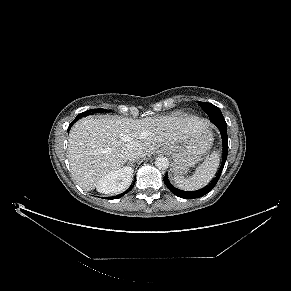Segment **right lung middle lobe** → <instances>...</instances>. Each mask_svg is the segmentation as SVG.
<instances>
[{"label":"right lung middle lobe","instance_id":"obj_1","mask_svg":"<svg viewBox=\"0 0 291 291\" xmlns=\"http://www.w3.org/2000/svg\"><path fill=\"white\" fill-rule=\"evenodd\" d=\"M92 112H107V110H105V109H93V110H88V111H85V112H83V113H80V114L76 117V119H79V118H81L82 116H85V115H89V114H91Z\"/></svg>","mask_w":291,"mask_h":291}]
</instances>
